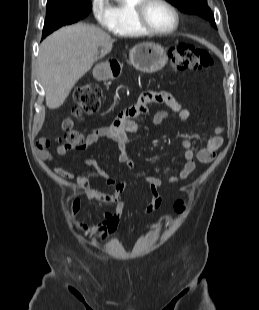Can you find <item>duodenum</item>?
I'll return each mask as SVG.
<instances>
[{"mask_svg": "<svg viewBox=\"0 0 259 310\" xmlns=\"http://www.w3.org/2000/svg\"><path fill=\"white\" fill-rule=\"evenodd\" d=\"M108 70L109 74L112 75L113 77H117L121 73V67L115 61L110 62Z\"/></svg>", "mask_w": 259, "mask_h": 310, "instance_id": "410a0bca", "label": "duodenum"}]
</instances>
